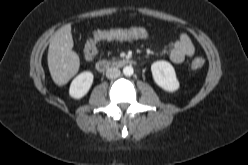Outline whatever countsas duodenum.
Listing matches in <instances>:
<instances>
[{
	"mask_svg": "<svg viewBox=\"0 0 248 165\" xmlns=\"http://www.w3.org/2000/svg\"><path fill=\"white\" fill-rule=\"evenodd\" d=\"M135 61L130 58H123L120 60H99L96 63V69L98 72H105L107 69H109L112 66H131L134 65Z\"/></svg>",
	"mask_w": 248,
	"mask_h": 165,
	"instance_id": "duodenum-1",
	"label": "duodenum"
}]
</instances>
